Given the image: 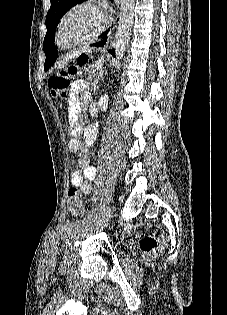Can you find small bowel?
I'll return each instance as SVG.
<instances>
[{
  "label": "small bowel",
  "instance_id": "c3829d8e",
  "mask_svg": "<svg viewBox=\"0 0 227 315\" xmlns=\"http://www.w3.org/2000/svg\"><path fill=\"white\" fill-rule=\"evenodd\" d=\"M90 85L82 80H77L72 84L69 103V121L71 124L70 133L72 138L69 141V150L72 159L77 163L80 170L71 174L70 182L73 186L79 187L81 192L89 195L92 192V182L96 177V169L86 158L87 148L80 147L79 134L80 126L78 115L80 111V100L86 101L89 98Z\"/></svg>",
  "mask_w": 227,
  "mask_h": 315
}]
</instances>
